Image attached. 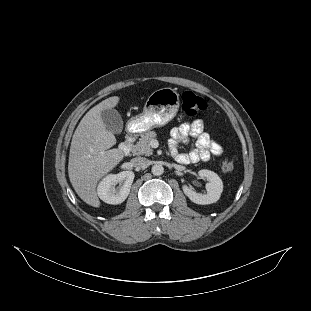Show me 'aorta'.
Here are the masks:
<instances>
[{
    "label": "aorta",
    "instance_id": "1",
    "mask_svg": "<svg viewBox=\"0 0 311 311\" xmlns=\"http://www.w3.org/2000/svg\"><path fill=\"white\" fill-rule=\"evenodd\" d=\"M152 174L155 176H160L164 173V167L160 164H155L152 166Z\"/></svg>",
    "mask_w": 311,
    "mask_h": 311
}]
</instances>
